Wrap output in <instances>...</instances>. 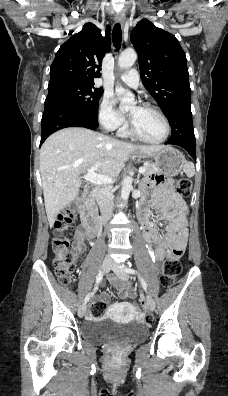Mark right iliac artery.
Returning a JSON list of instances; mask_svg holds the SVG:
<instances>
[{
    "label": "right iliac artery",
    "mask_w": 228,
    "mask_h": 396,
    "mask_svg": "<svg viewBox=\"0 0 228 396\" xmlns=\"http://www.w3.org/2000/svg\"><path fill=\"white\" fill-rule=\"evenodd\" d=\"M103 275H104L103 272H99V273H98V275H97V277H96V285H95V287H94V291H96L97 285L101 282V280H102V278H103ZM92 294H93V292L87 294V296H86L85 299H84V303H85V304L89 301V299H90V297H91Z\"/></svg>",
    "instance_id": "1"
}]
</instances>
